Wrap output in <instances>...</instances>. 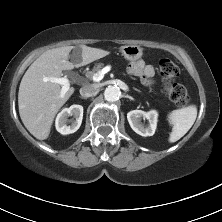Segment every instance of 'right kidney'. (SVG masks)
Here are the masks:
<instances>
[{"label": "right kidney", "instance_id": "1", "mask_svg": "<svg viewBox=\"0 0 222 222\" xmlns=\"http://www.w3.org/2000/svg\"><path fill=\"white\" fill-rule=\"evenodd\" d=\"M69 116H73L75 120H73L70 125H67ZM82 119L83 106L72 105L69 108H64L56 117V130L62 135L74 133L81 126Z\"/></svg>", "mask_w": 222, "mask_h": 222}]
</instances>
